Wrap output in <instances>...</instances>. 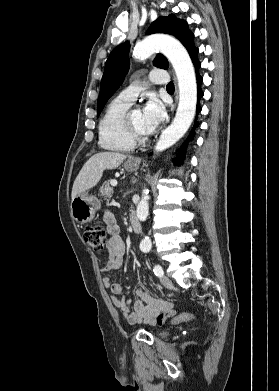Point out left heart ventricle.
Returning <instances> with one entry per match:
<instances>
[{
	"label": "left heart ventricle",
	"mask_w": 279,
	"mask_h": 391,
	"mask_svg": "<svg viewBox=\"0 0 279 391\" xmlns=\"http://www.w3.org/2000/svg\"><path fill=\"white\" fill-rule=\"evenodd\" d=\"M131 117H132L134 126L141 134H144V135L149 134L145 128L142 111L140 109H134Z\"/></svg>",
	"instance_id": "1"
}]
</instances>
